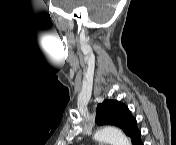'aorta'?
<instances>
[{
	"label": "aorta",
	"instance_id": "1",
	"mask_svg": "<svg viewBox=\"0 0 176 145\" xmlns=\"http://www.w3.org/2000/svg\"><path fill=\"white\" fill-rule=\"evenodd\" d=\"M94 139L111 145H131V141L117 128L104 127L94 134Z\"/></svg>",
	"mask_w": 176,
	"mask_h": 145
}]
</instances>
